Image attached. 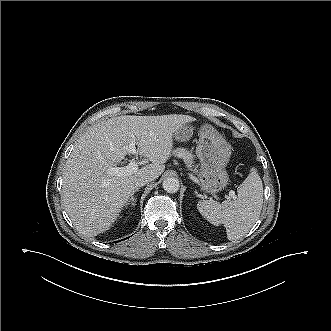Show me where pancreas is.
<instances>
[{
    "instance_id": "cf45deb5",
    "label": "pancreas",
    "mask_w": 331,
    "mask_h": 331,
    "mask_svg": "<svg viewBox=\"0 0 331 331\" xmlns=\"http://www.w3.org/2000/svg\"><path fill=\"white\" fill-rule=\"evenodd\" d=\"M175 154L180 155V157L184 160L189 169H191L192 171H196V169H194L195 165L193 163L194 157L189 151L184 149H177L175 151Z\"/></svg>"
}]
</instances>
